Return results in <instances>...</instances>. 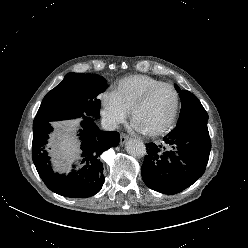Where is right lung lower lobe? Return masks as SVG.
Masks as SVG:
<instances>
[{"label":"right lung lower lobe","instance_id":"98d812e1","mask_svg":"<svg viewBox=\"0 0 248 248\" xmlns=\"http://www.w3.org/2000/svg\"><path fill=\"white\" fill-rule=\"evenodd\" d=\"M81 126V167L66 176L52 170L44 149L52 131L49 121L33 123L32 159L38 174L51 191L65 197L86 198L98 193L105 179L100 155L119 144L118 132L101 131L90 116L84 117Z\"/></svg>","mask_w":248,"mask_h":248}]
</instances>
